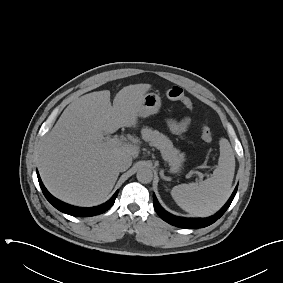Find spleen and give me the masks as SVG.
I'll use <instances>...</instances> for the list:
<instances>
[{"mask_svg":"<svg viewBox=\"0 0 283 283\" xmlns=\"http://www.w3.org/2000/svg\"><path fill=\"white\" fill-rule=\"evenodd\" d=\"M218 166L210 178L201 183L175 186L171 190L174 201L195 216H209L218 211L231 193L235 172V157L229 141L221 138Z\"/></svg>","mask_w":283,"mask_h":283,"instance_id":"spleen-1","label":"spleen"}]
</instances>
